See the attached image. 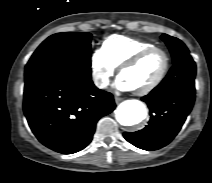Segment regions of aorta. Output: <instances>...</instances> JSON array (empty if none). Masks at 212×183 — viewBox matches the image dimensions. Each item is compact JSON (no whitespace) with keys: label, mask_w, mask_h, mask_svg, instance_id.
I'll use <instances>...</instances> for the list:
<instances>
[{"label":"aorta","mask_w":212,"mask_h":183,"mask_svg":"<svg viewBox=\"0 0 212 183\" xmlns=\"http://www.w3.org/2000/svg\"><path fill=\"white\" fill-rule=\"evenodd\" d=\"M115 114L121 125L133 126L141 123L146 118L147 110L139 100H126L118 106Z\"/></svg>","instance_id":"1"}]
</instances>
